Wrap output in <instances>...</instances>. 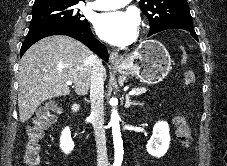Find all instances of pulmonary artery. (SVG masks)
Here are the masks:
<instances>
[{"label":"pulmonary artery","mask_w":227,"mask_h":166,"mask_svg":"<svg viewBox=\"0 0 227 166\" xmlns=\"http://www.w3.org/2000/svg\"><path fill=\"white\" fill-rule=\"evenodd\" d=\"M131 0H94L87 4L93 10H114L128 5Z\"/></svg>","instance_id":"e3ab8cb5"}]
</instances>
